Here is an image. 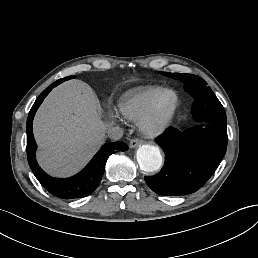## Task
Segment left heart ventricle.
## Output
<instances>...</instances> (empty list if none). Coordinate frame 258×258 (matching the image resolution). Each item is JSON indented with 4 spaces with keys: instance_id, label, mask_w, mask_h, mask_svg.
<instances>
[{
    "instance_id": "1",
    "label": "left heart ventricle",
    "mask_w": 258,
    "mask_h": 258,
    "mask_svg": "<svg viewBox=\"0 0 258 258\" xmlns=\"http://www.w3.org/2000/svg\"><path fill=\"white\" fill-rule=\"evenodd\" d=\"M172 100L171 97L166 95L160 99L159 111L161 113H167L171 108ZM158 126L156 118H152L145 123V129L148 131H154Z\"/></svg>"
}]
</instances>
